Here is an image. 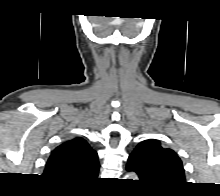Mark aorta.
<instances>
[{
  "instance_id": "obj_1",
  "label": "aorta",
  "mask_w": 220,
  "mask_h": 196,
  "mask_svg": "<svg viewBox=\"0 0 220 196\" xmlns=\"http://www.w3.org/2000/svg\"><path fill=\"white\" fill-rule=\"evenodd\" d=\"M126 177H128V178H126V179L137 180V175H136L135 173H128V174L126 175Z\"/></svg>"
}]
</instances>
